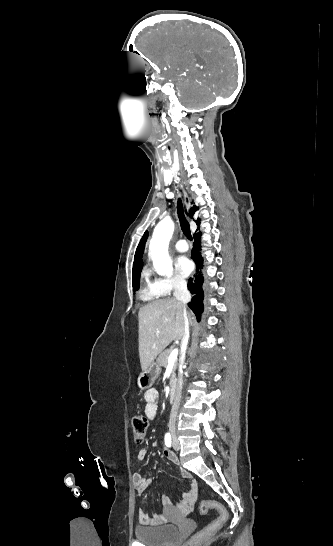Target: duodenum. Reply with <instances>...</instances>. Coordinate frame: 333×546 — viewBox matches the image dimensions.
<instances>
[{
  "mask_svg": "<svg viewBox=\"0 0 333 546\" xmlns=\"http://www.w3.org/2000/svg\"><path fill=\"white\" fill-rule=\"evenodd\" d=\"M169 399L172 404H174L177 399V384L174 381H172L169 386Z\"/></svg>",
  "mask_w": 333,
  "mask_h": 546,
  "instance_id": "obj_1",
  "label": "duodenum"
}]
</instances>
